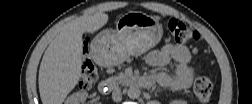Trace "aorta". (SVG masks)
Here are the masks:
<instances>
[{"instance_id": "aorta-1", "label": "aorta", "mask_w": 252, "mask_h": 104, "mask_svg": "<svg viewBox=\"0 0 252 104\" xmlns=\"http://www.w3.org/2000/svg\"><path fill=\"white\" fill-rule=\"evenodd\" d=\"M140 94L141 91L137 86H131L127 91V95L130 99H138Z\"/></svg>"}]
</instances>
